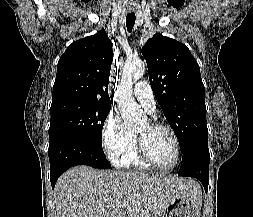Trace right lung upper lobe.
Masks as SVG:
<instances>
[{
	"mask_svg": "<svg viewBox=\"0 0 253 217\" xmlns=\"http://www.w3.org/2000/svg\"><path fill=\"white\" fill-rule=\"evenodd\" d=\"M112 61V42L104 29L70 44L58 61L52 104L66 100L111 104Z\"/></svg>",
	"mask_w": 253,
	"mask_h": 217,
	"instance_id": "right-lung-upper-lobe-1",
	"label": "right lung upper lobe"
}]
</instances>
